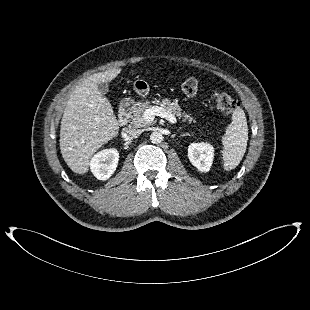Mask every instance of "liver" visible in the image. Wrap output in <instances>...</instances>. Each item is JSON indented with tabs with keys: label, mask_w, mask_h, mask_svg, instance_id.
<instances>
[{
	"label": "liver",
	"mask_w": 310,
	"mask_h": 310,
	"mask_svg": "<svg viewBox=\"0 0 310 310\" xmlns=\"http://www.w3.org/2000/svg\"><path fill=\"white\" fill-rule=\"evenodd\" d=\"M120 72V68H114L95 73L84 79L69 96L61 120L60 150L75 173H86L92 155L118 135L113 108L99 91L98 83L110 82Z\"/></svg>",
	"instance_id": "obj_1"
}]
</instances>
